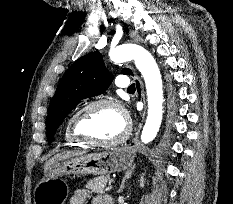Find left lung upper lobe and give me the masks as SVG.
<instances>
[{"label": "left lung upper lobe", "instance_id": "left-lung-upper-lobe-1", "mask_svg": "<svg viewBox=\"0 0 233 204\" xmlns=\"http://www.w3.org/2000/svg\"><path fill=\"white\" fill-rule=\"evenodd\" d=\"M122 73L132 74L126 68ZM111 81L112 74L105 68L100 53L92 52L76 60L62 77L52 98L46 125L48 142H52L57 128L79 101L104 93Z\"/></svg>", "mask_w": 233, "mask_h": 204}]
</instances>
